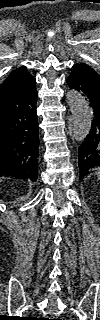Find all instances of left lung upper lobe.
Segmentation results:
<instances>
[{
    "instance_id": "left-lung-upper-lobe-1",
    "label": "left lung upper lobe",
    "mask_w": 100,
    "mask_h": 320,
    "mask_svg": "<svg viewBox=\"0 0 100 320\" xmlns=\"http://www.w3.org/2000/svg\"><path fill=\"white\" fill-rule=\"evenodd\" d=\"M72 70H76L80 74L84 75L88 79H90L100 85V76L96 73V71L94 69H92L87 64H84V63L75 64L72 67Z\"/></svg>"
}]
</instances>
